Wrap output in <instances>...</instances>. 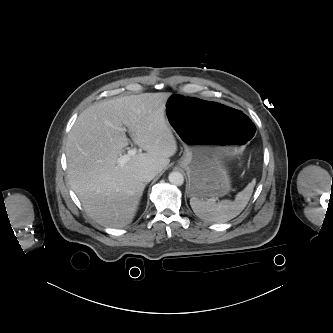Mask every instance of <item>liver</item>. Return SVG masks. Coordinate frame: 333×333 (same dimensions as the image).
I'll return each mask as SVG.
<instances>
[{
  "mask_svg": "<svg viewBox=\"0 0 333 333\" xmlns=\"http://www.w3.org/2000/svg\"><path fill=\"white\" fill-rule=\"evenodd\" d=\"M171 93H143L104 100L84 110L66 142L68 178L86 212L98 223L121 228L131 223L145 188L139 169L161 172L177 151L165 119ZM147 153L117 164L129 139Z\"/></svg>",
  "mask_w": 333,
  "mask_h": 333,
  "instance_id": "1",
  "label": "liver"
}]
</instances>
